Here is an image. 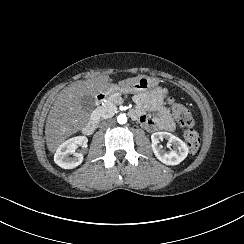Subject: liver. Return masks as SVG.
<instances>
[{
    "label": "liver",
    "instance_id": "obj_1",
    "mask_svg": "<svg viewBox=\"0 0 244 244\" xmlns=\"http://www.w3.org/2000/svg\"><path fill=\"white\" fill-rule=\"evenodd\" d=\"M108 75H101L86 81H77L57 94L45 126L46 143L54 152L69 136L81 130L89 120V113L82 110L80 97L97 95L106 88Z\"/></svg>",
    "mask_w": 244,
    "mask_h": 244
}]
</instances>
